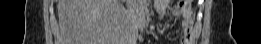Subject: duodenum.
I'll return each mask as SVG.
<instances>
[{
  "label": "duodenum",
  "mask_w": 261,
  "mask_h": 44,
  "mask_svg": "<svg viewBox=\"0 0 261 44\" xmlns=\"http://www.w3.org/2000/svg\"><path fill=\"white\" fill-rule=\"evenodd\" d=\"M135 22L140 30H143L146 27L147 20H146L145 12L143 10L137 13Z\"/></svg>",
  "instance_id": "obj_1"
}]
</instances>
